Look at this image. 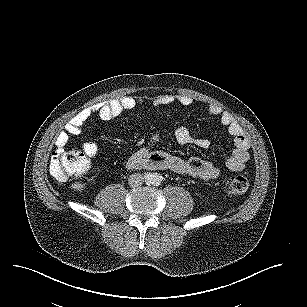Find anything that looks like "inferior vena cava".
<instances>
[{
    "mask_svg": "<svg viewBox=\"0 0 307 307\" xmlns=\"http://www.w3.org/2000/svg\"><path fill=\"white\" fill-rule=\"evenodd\" d=\"M143 181H144V177L139 173L131 174L128 178V184L132 188L141 186Z\"/></svg>",
    "mask_w": 307,
    "mask_h": 307,
    "instance_id": "602c4592",
    "label": "inferior vena cava"
}]
</instances>
